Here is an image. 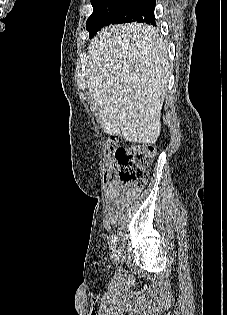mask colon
<instances>
[{
    "label": "colon",
    "instance_id": "1",
    "mask_svg": "<svg viewBox=\"0 0 227 315\" xmlns=\"http://www.w3.org/2000/svg\"><path fill=\"white\" fill-rule=\"evenodd\" d=\"M120 138L111 136L107 147L111 154L112 163L104 167L103 179L105 182L118 178L123 184L140 190L146 183L155 150L150 144L136 143L128 148L118 147Z\"/></svg>",
    "mask_w": 227,
    "mask_h": 315
}]
</instances>
